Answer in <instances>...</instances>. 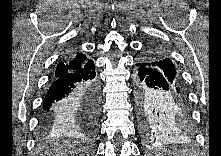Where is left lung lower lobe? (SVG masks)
I'll use <instances>...</instances> for the list:
<instances>
[{
  "instance_id": "left-lung-lower-lobe-1",
  "label": "left lung lower lobe",
  "mask_w": 221,
  "mask_h": 156,
  "mask_svg": "<svg viewBox=\"0 0 221 156\" xmlns=\"http://www.w3.org/2000/svg\"><path fill=\"white\" fill-rule=\"evenodd\" d=\"M140 130L151 142L180 134L191 127V108L180 94L171 71L137 60Z\"/></svg>"
}]
</instances>
